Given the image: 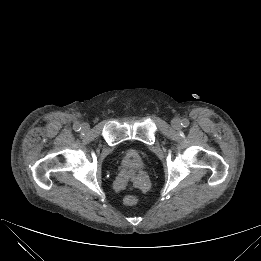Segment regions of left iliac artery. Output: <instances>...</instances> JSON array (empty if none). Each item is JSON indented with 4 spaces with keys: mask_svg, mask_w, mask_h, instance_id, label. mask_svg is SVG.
Here are the masks:
<instances>
[{
    "mask_svg": "<svg viewBox=\"0 0 261 261\" xmlns=\"http://www.w3.org/2000/svg\"><path fill=\"white\" fill-rule=\"evenodd\" d=\"M181 125L183 127H188L189 126V120L188 119H183Z\"/></svg>",
    "mask_w": 261,
    "mask_h": 261,
    "instance_id": "1",
    "label": "left iliac artery"
}]
</instances>
